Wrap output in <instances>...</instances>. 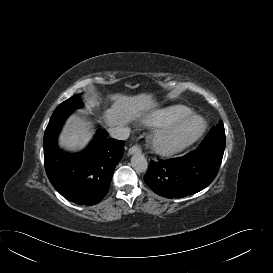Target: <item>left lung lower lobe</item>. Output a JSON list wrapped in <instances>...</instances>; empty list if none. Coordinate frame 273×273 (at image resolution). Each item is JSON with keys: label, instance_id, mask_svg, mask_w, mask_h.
<instances>
[{"label": "left lung lower lobe", "instance_id": "0a47b994", "mask_svg": "<svg viewBox=\"0 0 273 273\" xmlns=\"http://www.w3.org/2000/svg\"><path fill=\"white\" fill-rule=\"evenodd\" d=\"M222 157L198 147L183 157L151 161L144 176L158 195L182 198L206 188L216 177Z\"/></svg>", "mask_w": 273, "mask_h": 273}]
</instances>
